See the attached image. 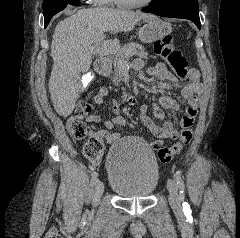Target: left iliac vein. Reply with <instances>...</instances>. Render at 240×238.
<instances>
[{
  "label": "left iliac vein",
  "mask_w": 240,
  "mask_h": 238,
  "mask_svg": "<svg viewBox=\"0 0 240 238\" xmlns=\"http://www.w3.org/2000/svg\"><path fill=\"white\" fill-rule=\"evenodd\" d=\"M169 191V203L174 210L181 209L182 197L178 193V185L175 180H169L167 184Z\"/></svg>",
  "instance_id": "4c4485c4"
}]
</instances>
